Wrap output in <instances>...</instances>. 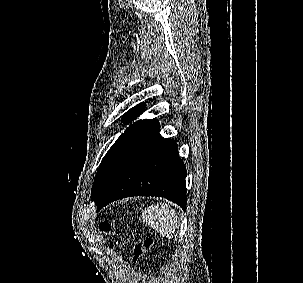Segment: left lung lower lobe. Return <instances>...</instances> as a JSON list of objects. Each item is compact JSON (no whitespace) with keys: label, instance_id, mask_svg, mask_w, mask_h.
I'll return each mask as SVG.
<instances>
[{"label":"left lung lower lobe","instance_id":"obj_1","mask_svg":"<svg viewBox=\"0 0 303 283\" xmlns=\"http://www.w3.org/2000/svg\"><path fill=\"white\" fill-rule=\"evenodd\" d=\"M186 168L172 139L159 134V122L143 120L125 144L102 186L91 196L97 211L129 196H158L186 209Z\"/></svg>","mask_w":303,"mask_h":283}]
</instances>
